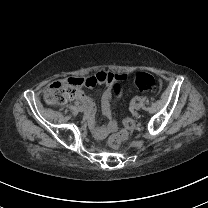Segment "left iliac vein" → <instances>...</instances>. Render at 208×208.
<instances>
[{"instance_id": "1", "label": "left iliac vein", "mask_w": 208, "mask_h": 208, "mask_svg": "<svg viewBox=\"0 0 208 208\" xmlns=\"http://www.w3.org/2000/svg\"><path fill=\"white\" fill-rule=\"evenodd\" d=\"M134 109H135L136 111L140 110V109H141V104H139V103L135 104V105H134Z\"/></svg>"}]
</instances>
